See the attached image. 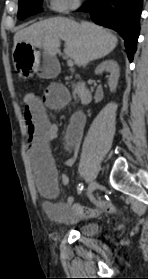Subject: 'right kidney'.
I'll return each instance as SVG.
<instances>
[{
  "label": "right kidney",
  "instance_id": "ca27d5eb",
  "mask_svg": "<svg viewBox=\"0 0 148 279\" xmlns=\"http://www.w3.org/2000/svg\"><path fill=\"white\" fill-rule=\"evenodd\" d=\"M103 71L108 72L110 75L108 76V84L111 92H115L116 87L118 85V80L120 76L119 66L114 60H106L100 63L96 70L95 74L99 75Z\"/></svg>",
  "mask_w": 148,
  "mask_h": 279
}]
</instances>
